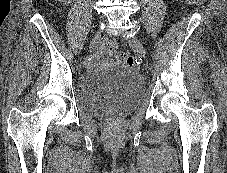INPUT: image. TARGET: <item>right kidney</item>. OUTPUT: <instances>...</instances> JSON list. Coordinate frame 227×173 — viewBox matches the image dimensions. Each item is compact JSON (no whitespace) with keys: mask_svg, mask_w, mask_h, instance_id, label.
Returning <instances> with one entry per match:
<instances>
[{"mask_svg":"<svg viewBox=\"0 0 227 173\" xmlns=\"http://www.w3.org/2000/svg\"><path fill=\"white\" fill-rule=\"evenodd\" d=\"M58 1L66 3L67 1L71 2L72 0H58Z\"/></svg>","mask_w":227,"mask_h":173,"instance_id":"ca27d5eb","label":"right kidney"}]
</instances>
